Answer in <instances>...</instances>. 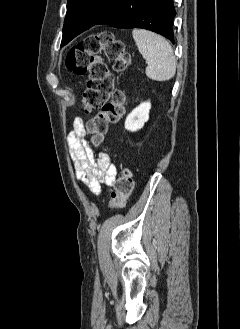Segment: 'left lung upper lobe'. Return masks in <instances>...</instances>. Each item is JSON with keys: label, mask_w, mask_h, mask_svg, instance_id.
I'll return each mask as SVG.
<instances>
[{"label": "left lung upper lobe", "mask_w": 240, "mask_h": 329, "mask_svg": "<svg viewBox=\"0 0 240 329\" xmlns=\"http://www.w3.org/2000/svg\"><path fill=\"white\" fill-rule=\"evenodd\" d=\"M119 0H68L61 46L94 26Z\"/></svg>", "instance_id": "left-lung-upper-lobe-1"}]
</instances>
